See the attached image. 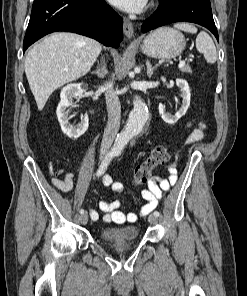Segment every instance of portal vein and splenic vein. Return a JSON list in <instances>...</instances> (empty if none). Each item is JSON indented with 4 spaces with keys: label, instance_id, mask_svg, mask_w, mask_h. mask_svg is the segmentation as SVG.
I'll return each mask as SVG.
<instances>
[{
    "label": "portal vein and splenic vein",
    "instance_id": "obj_1",
    "mask_svg": "<svg viewBox=\"0 0 247 296\" xmlns=\"http://www.w3.org/2000/svg\"><path fill=\"white\" fill-rule=\"evenodd\" d=\"M183 66H185V60H180L179 64H178V67L182 68Z\"/></svg>",
    "mask_w": 247,
    "mask_h": 296
}]
</instances>
